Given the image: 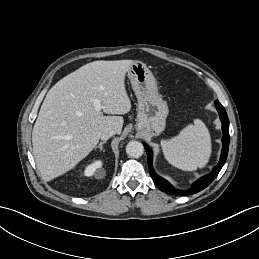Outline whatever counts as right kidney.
<instances>
[{
	"mask_svg": "<svg viewBox=\"0 0 259 259\" xmlns=\"http://www.w3.org/2000/svg\"><path fill=\"white\" fill-rule=\"evenodd\" d=\"M101 167H102V162L101 161H95L85 168L84 175L90 177L95 173V171L97 169H99Z\"/></svg>",
	"mask_w": 259,
	"mask_h": 259,
	"instance_id": "obj_1",
	"label": "right kidney"
}]
</instances>
